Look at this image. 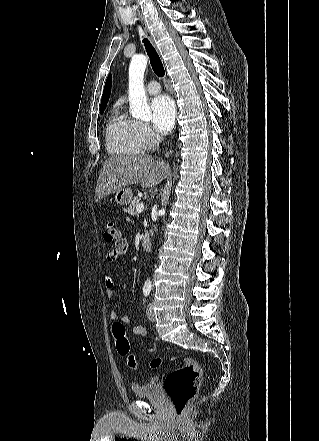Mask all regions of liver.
<instances>
[{
	"label": "liver",
	"mask_w": 319,
	"mask_h": 441,
	"mask_svg": "<svg viewBox=\"0 0 319 441\" xmlns=\"http://www.w3.org/2000/svg\"><path fill=\"white\" fill-rule=\"evenodd\" d=\"M169 173L165 161H154L149 155H118L109 157L100 171L95 201L124 189L128 185L141 183L152 187L163 181Z\"/></svg>",
	"instance_id": "liver-1"
}]
</instances>
